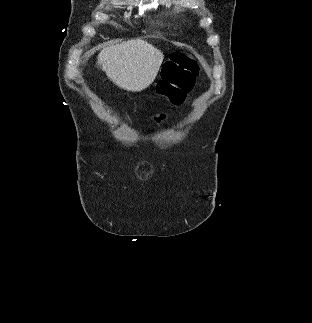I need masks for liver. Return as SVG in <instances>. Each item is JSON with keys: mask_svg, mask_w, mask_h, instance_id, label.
<instances>
[{"mask_svg": "<svg viewBox=\"0 0 312 323\" xmlns=\"http://www.w3.org/2000/svg\"><path fill=\"white\" fill-rule=\"evenodd\" d=\"M163 52L144 40H128L103 48L98 64L107 78L127 92H142L154 82Z\"/></svg>", "mask_w": 312, "mask_h": 323, "instance_id": "liver-1", "label": "liver"}]
</instances>
